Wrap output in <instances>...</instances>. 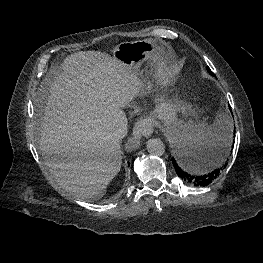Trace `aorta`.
Instances as JSON below:
<instances>
[{"instance_id": "obj_1", "label": "aorta", "mask_w": 263, "mask_h": 263, "mask_svg": "<svg viewBox=\"0 0 263 263\" xmlns=\"http://www.w3.org/2000/svg\"><path fill=\"white\" fill-rule=\"evenodd\" d=\"M147 151L154 156H161L165 152V146L160 139L152 138L147 141Z\"/></svg>"}]
</instances>
